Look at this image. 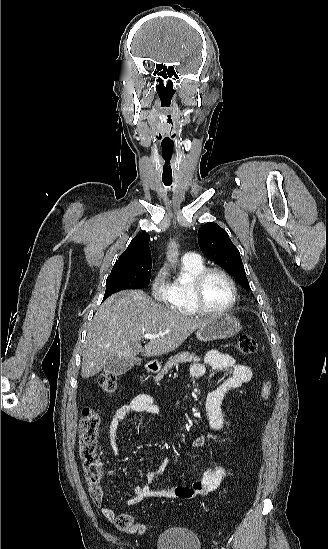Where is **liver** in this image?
Segmentation results:
<instances>
[{"mask_svg": "<svg viewBox=\"0 0 328 549\" xmlns=\"http://www.w3.org/2000/svg\"><path fill=\"white\" fill-rule=\"evenodd\" d=\"M207 319L188 317L153 301L144 291H120L93 317L82 357L81 377L102 371L108 357H157L178 349ZM168 331V333H167ZM159 335L142 347L143 335Z\"/></svg>", "mask_w": 328, "mask_h": 549, "instance_id": "1", "label": "liver"}]
</instances>
